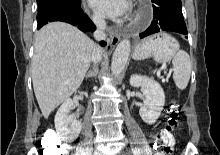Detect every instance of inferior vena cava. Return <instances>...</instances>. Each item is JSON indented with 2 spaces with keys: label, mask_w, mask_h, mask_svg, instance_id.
Segmentation results:
<instances>
[{
  "label": "inferior vena cava",
  "mask_w": 220,
  "mask_h": 155,
  "mask_svg": "<svg viewBox=\"0 0 220 155\" xmlns=\"http://www.w3.org/2000/svg\"><path fill=\"white\" fill-rule=\"evenodd\" d=\"M93 21L95 23V25L97 26V30L94 32V37L96 40H103L106 38V35L104 33V30L106 28V22L104 20V17L100 14H96L93 16ZM102 59V50L99 46H95L92 56H91V60L92 62H94L95 64H97L98 62H100Z\"/></svg>",
  "instance_id": "obj_1"
}]
</instances>
